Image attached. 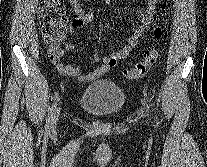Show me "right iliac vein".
Segmentation results:
<instances>
[{"label":"right iliac vein","mask_w":207,"mask_h":167,"mask_svg":"<svg viewBox=\"0 0 207 167\" xmlns=\"http://www.w3.org/2000/svg\"><path fill=\"white\" fill-rule=\"evenodd\" d=\"M58 116H59V112L57 111L55 116H54V119H53V126H55L57 120H58Z\"/></svg>","instance_id":"obj_1"}]
</instances>
